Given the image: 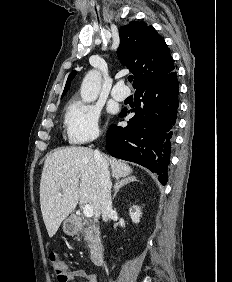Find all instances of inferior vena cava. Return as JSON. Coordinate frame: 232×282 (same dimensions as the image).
Here are the masks:
<instances>
[{
  "instance_id": "602c4592",
  "label": "inferior vena cava",
  "mask_w": 232,
  "mask_h": 282,
  "mask_svg": "<svg viewBox=\"0 0 232 282\" xmlns=\"http://www.w3.org/2000/svg\"><path fill=\"white\" fill-rule=\"evenodd\" d=\"M94 160L96 162L98 178L101 187V214L103 221L107 222L110 214L112 213V200H111V187L112 182L110 179V172L108 163L98 150L94 151Z\"/></svg>"
}]
</instances>
